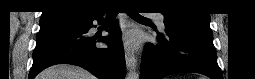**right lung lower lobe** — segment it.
<instances>
[{
  "instance_id": "1",
  "label": "right lung lower lobe",
  "mask_w": 255,
  "mask_h": 79,
  "mask_svg": "<svg viewBox=\"0 0 255 79\" xmlns=\"http://www.w3.org/2000/svg\"><path fill=\"white\" fill-rule=\"evenodd\" d=\"M101 14L65 26L40 29L29 79H33L43 69L59 63L81 66L100 79H123L125 56L118 25L114 23L111 26L108 30L109 37L87 35L94 26V20L103 22ZM98 42H107L108 47L99 48L96 46Z\"/></svg>"
}]
</instances>
